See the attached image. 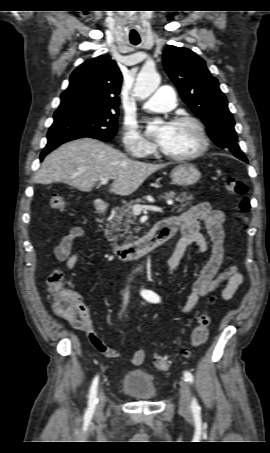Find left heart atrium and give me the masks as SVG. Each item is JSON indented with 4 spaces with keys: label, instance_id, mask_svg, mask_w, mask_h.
Here are the masks:
<instances>
[{
    "label": "left heart atrium",
    "instance_id": "39dd6f15",
    "mask_svg": "<svg viewBox=\"0 0 270 453\" xmlns=\"http://www.w3.org/2000/svg\"><path fill=\"white\" fill-rule=\"evenodd\" d=\"M170 128H171V126L169 124H167L158 129L150 131V133L155 138L157 143L160 146H163L170 135Z\"/></svg>",
    "mask_w": 270,
    "mask_h": 453
}]
</instances>
